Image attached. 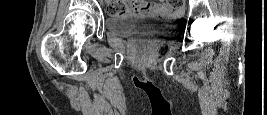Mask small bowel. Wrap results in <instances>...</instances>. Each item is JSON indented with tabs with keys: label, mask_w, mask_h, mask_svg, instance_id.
Wrapping results in <instances>:
<instances>
[{
	"label": "small bowel",
	"mask_w": 267,
	"mask_h": 115,
	"mask_svg": "<svg viewBox=\"0 0 267 115\" xmlns=\"http://www.w3.org/2000/svg\"><path fill=\"white\" fill-rule=\"evenodd\" d=\"M129 12L138 14H168L171 12V6L164 0H159L158 2L137 1L129 4Z\"/></svg>",
	"instance_id": "1"
}]
</instances>
